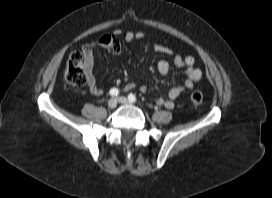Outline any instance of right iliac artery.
Returning <instances> with one entry per match:
<instances>
[{
    "label": "right iliac artery",
    "instance_id": "right-iliac-artery-1",
    "mask_svg": "<svg viewBox=\"0 0 272 198\" xmlns=\"http://www.w3.org/2000/svg\"><path fill=\"white\" fill-rule=\"evenodd\" d=\"M119 94V90L117 88H112L110 90V95L111 96H117Z\"/></svg>",
    "mask_w": 272,
    "mask_h": 198
}]
</instances>
